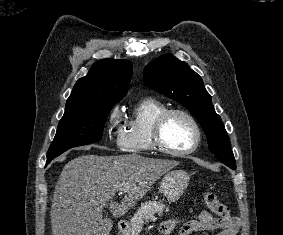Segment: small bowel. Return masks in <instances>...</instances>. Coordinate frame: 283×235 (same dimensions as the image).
<instances>
[{
  "instance_id": "small-bowel-1",
  "label": "small bowel",
  "mask_w": 283,
  "mask_h": 235,
  "mask_svg": "<svg viewBox=\"0 0 283 235\" xmlns=\"http://www.w3.org/2000/svg\"><path fill=\"white\" fill-rule=\"evenodd\" d=\"M239 224V220L236 218L228 220L217 219L208 212L203 211L184 223L179 228L178 235H191L195 232L215 230L219 231L217 235H237ZM175 226V220H167L161 223L160 231L166 234L174 230Z\"/></svg>"
}]
</instances>
